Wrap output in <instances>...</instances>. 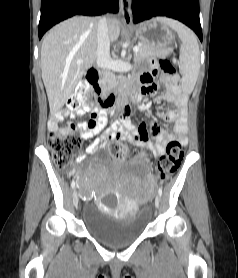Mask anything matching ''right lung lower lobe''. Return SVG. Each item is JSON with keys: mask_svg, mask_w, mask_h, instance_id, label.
<instances>
[{"mask_svg": "<svg viewBox=\"0 0 238 278\" xmlns=\"http://www.w3.org/2000/svg\"><path fill=\"white\" fill-rule=\"evenodd\" d=\"M118 10V0H42L39 39L53 25L74 15L95 16Z\"/></svg>", "mask_w": 238, "mask_h": 278, "instance_id": "obj_1", "label": "right lung lower lobe"}]
</instances>
